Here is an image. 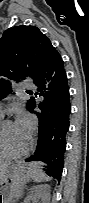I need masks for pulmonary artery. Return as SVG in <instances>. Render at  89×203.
Returning <instances> with one entry per match:
<instances>
[{"instance_id": "e3ab8cb5", "label": "pulmonary artery", "mask_w": 89, "mask_h": 203, "mask_svg": "<svg viewBox=\"0 0 89 203\" xmlns=\"http://www.w3.org/2000/svg\"><path fill=\"white\" fill-rule=\"evenodd\" d=\"M33 87H34V85L32 83H25L23 85V88H33Z\"/></svg>"}]
</instances>
